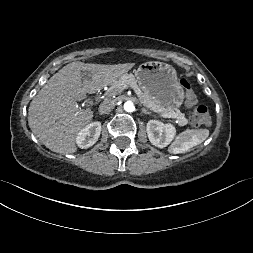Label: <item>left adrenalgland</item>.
Instances as JSON below:
<instances>
[{"label": "left adrenal gland", "instance_id": "obj_1", "mask_svg": "<svg viewBox=\"0 0 253 253\" xmlns=\"http://www.w3.org/2000/svg\"><path fill=\"white\" fill-rule=\"evenodd\" d=\"M142 112L145 114H151V112H149L148 110H146L145 108L142 109Z\"/></svg>", "mask_w": 253, "mask_h": 253}]
</instances>
